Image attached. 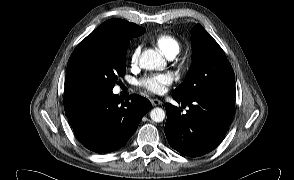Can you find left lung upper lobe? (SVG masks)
Wrapping results in <instances>:
<instances>
[{"instance_id":"1","label":"left lung upper lobe","mask_w":294,"mask_h":180,"mask_svg":"<svg viewBox=\"0 0 294 180\" xmlns=\"http://www.w3.org/2000/svg\"><path fill=\"white\" fill-rule=\"evenodd\" d=\"M192 64L182 84L174 91L178 98L196 95L235 98V75L222 48L200 25L191 36Z\"/></svg>"}]
</instances>
